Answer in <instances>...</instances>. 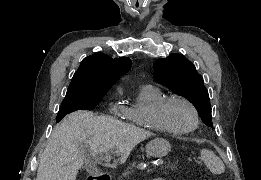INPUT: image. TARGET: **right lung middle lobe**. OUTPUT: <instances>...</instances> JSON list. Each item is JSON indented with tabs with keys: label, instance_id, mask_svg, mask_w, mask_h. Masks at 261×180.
Returning <instances> with one entry per match:
<instances>
[{
	"label": "right lung middle lobe",
	"instance_id": "dd1d6c3e",
	"mask_svg": "<svg viewBox=\"0 0 261 180\" xmlns=\"http://www.w3.org/2000/svg\"><path fill=\"white\" fill-rule=\"evenodd\" d=\"M105 94L106 92L67 90L66 96L59 109L56 122H59L70 112L93 109Z\"/></svg>",
	"mask_w": 261,
	"mask_h": 180
}]
</instances>
